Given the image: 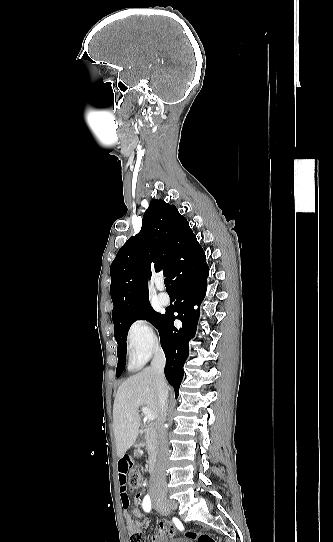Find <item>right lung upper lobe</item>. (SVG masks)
<instances>
[{
  "instance_id": "1",
  "label": "right lung upper lobe",
  "mask_w": 333,
  "mask_h": 542,
  "mask_svg": "<svg viewBox=\"0 0 333 542\" xmlns=\"http://www.w3.org/2000/svg\"><path fill=\"white\" fill-rule=\"evenodd\" d=\"M196 240L174 205L152 200L140 232L119 249L110 267L113 320L150 305L147 276L163 270L172 281L177 253Z\"/></svg>"
}]
</instances>
